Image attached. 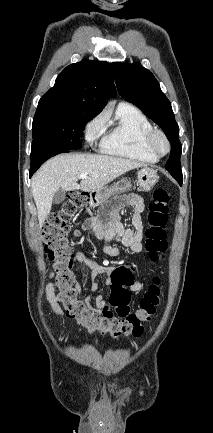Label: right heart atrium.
I'll list each match as a JSON object with an SVG mask.
<instances>
[{
    "label": "right heart atrium",
    "instance_id": "d8ad5b80",
    "mask_svg": "<svg viewBox=\"0 0 213 433\" xmlns=\"http://www.w3.org/2000/svg\"><path fill=\"white\" fill-rule=\"evenodd\" d=\"M105 118L103 115L93 117L85 126V139L93 143L96 137L103 131Z\"/></svg>",
    "mask_w": 213,
    "mask_h": 433
}]
</instances>
